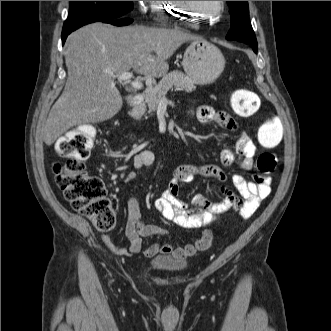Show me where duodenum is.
I'll return each instance as SVG.
<instances>
[{
    "label": "duodenum",
    "instance_id": "duodenum-1",
    "mask_svg": "<svg viewBox=\"0 0 331 331\" xmlns=\"http://www.w3.org/2000/svg\"><path fill=\"white\" fill-rule=\"evenodd\" d=\"M140 102H141V98L139 96L136 95L130 96L127 102V110H131L135 108Z\"/></svg>",
    "mask_w": 331,
    "mask_h": 331
}]
</instances>
